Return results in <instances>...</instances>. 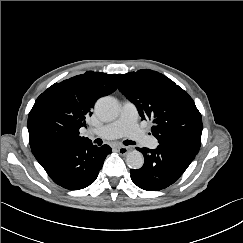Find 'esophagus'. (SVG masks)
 Returning <instances> with one entry per match:
<instances>
[{"instance_id":"obj_1","label":"esophagus","mask_w":243,"mask_h":243,"mask_svg":"<svg viewBox=\"0 0 243 243\" xmlns=\"http://www.w3.org/2000/svg\"><path fill=\"white\" fill-rule=\"evenodd\" d=\"M117 151L122 154V155H125L128 153L129 149L128 147H125V146H120V147H117Z\"/></svg>"}]
</instances>
